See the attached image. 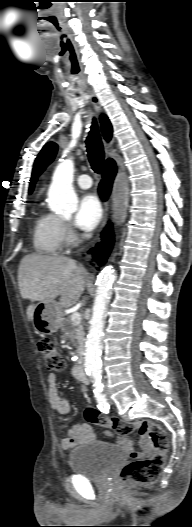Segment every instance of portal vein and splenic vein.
<instances>
[{"mask_svg": "<svg viewBox=\"0 0 192 527\" xmlns=\"http://www.w3.org/2000/svg\"><path fill=\"white\" fill-rule=\"evenodd\" d=\"M71 321L74 325H78L81 322V314L79 312L72 313Z\"/></svg>", "mask_w": 192, "mask_h": 527, "instance_id": "18ae733b", "label": "portal vein and splenic vein"}]
</instances>
